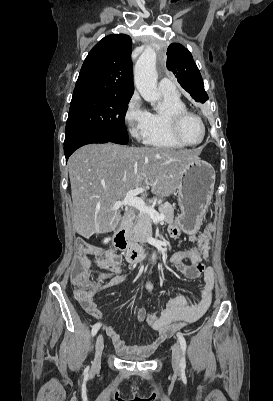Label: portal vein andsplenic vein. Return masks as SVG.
<instances>
[{
  "label": "portal vein and splenic vein",
  "instance_id": "obj_1",
  "mask_svg": "<svg viewBox=\"0 0 273 401\" xmlns=\"http://www.w3.org/2000/svg\"><path fill=\"white\" fill-rule=\"evenodd\" d=\"M146 188H150V186H141V188H133V190H128L124 201H117L115 205H113V209H120V207H136L138 211H141V213H146V215H149L151 217L152 221H155V223H158V221H164L165 217L164 215H159L158 211H155L154 207H146L144 201H142V198H139L137 194H140V192H144Z\"/></svg>",
  "mask_w": 273,
  "mask_h": 401
}]
</instances>
